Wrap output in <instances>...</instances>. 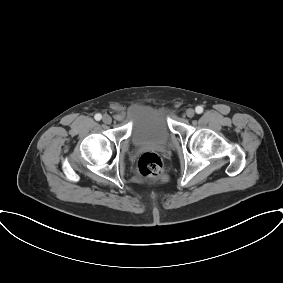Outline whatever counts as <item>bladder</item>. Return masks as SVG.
<instances>
[{"label": "bladder", "mask_w": 283, "mask_h": 283, "mask_svg": "<svg viewBox=\"0 0 283 283\" xmlns=\"http://www.w3.org/2000/svg\"><path fill=\"white\" fill-rule=\"evenodd\" d=\"M171 109L166 105L137 104L129 112L135 145H164L171 136Z\"/></svg>", "instance_id": "obj_1"}]
</instances>
